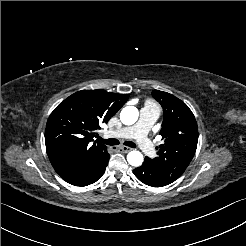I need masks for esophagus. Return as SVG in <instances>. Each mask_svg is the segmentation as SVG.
Instances as JSON below:
<instances>
[{
  "label": "esophagus",
  "mask_w": 246,
  "mask_h": 246,
  "mask_svg": "<svg viewBox=\"0 0 246 246\" xmlns=\"http://www.w3.org/2000/svg\"><path fill=\"white\" fill-rule=\"evenodd\" d=\"M118 150L122 153H128L129 151H131L132 149L127 147V146H121L118 148Z\"/></svg>",
  "instance_id": "obj_1"
}]
</instances>
